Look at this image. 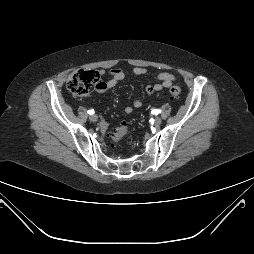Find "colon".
Here are the masks:
<instances>
[{
    "mask_svg": "<svg viewBox=\"0 0 254 254\" xmlns=\"http://www.w3.org/2000/svg\"><path fill=\"white\" fill-rule=\"evenodd\" d=\"M100 86V76L96 71L79 70L72 73L67 80L68 90L72 95L78 98L86 97L91 89ZM181 94V89L178 86H172L168 90V95L171 99H177ZM129 132V124L123 123L119 128L110 133V138L113 142L118 143Z\"/></svg>",
    "mask_w": 254,
    "mask_h": 254,
    "instance_id": "colon-1",
    "label": "colon"
}]
</instances>
